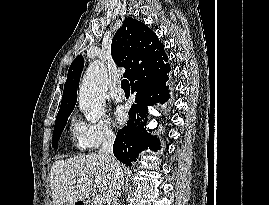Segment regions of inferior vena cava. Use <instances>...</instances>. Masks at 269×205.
Segmentation results:
<instances>
[{
  "label": "inferior vena cava",
  "instance_id": "inferior-vena-cava-1",
  "mask_svg": "<svg viewBox=\"0 0 269 205\" xmlns=\"http://www.w3.org/2000/svg\"><path fill=\"white\" fill-rule=\"evenodd\" d=\"M114 141H115L114 133L110 130L105 131V133L102 136V145L99 150V157H101L106 161V163L110 168L112 176L107 192L108 205H110L111 202H115L116 196L121 191V187L124 183L123 171L113 154Z\"/></svg>",
  "mask_w": 269,
  "mask_h": 205
}]
</instances>
